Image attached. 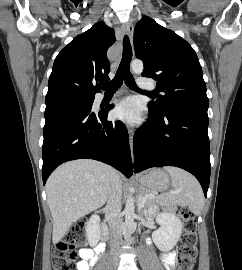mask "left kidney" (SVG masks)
I'll return each instance as SVG.
<instances>
[{
  "label": "left kidney",
  "mask_w": 242,
  "mask_h": 270,
  "mask_svg": "<svg viewBox=\"0 0 242 270\" xmlns=\"http://www.w3.org/2000/svg\"><path fill=\"white\" fill-rule=\"evenodd\" d=\"M160 228L152 233L155 245L164 252H168L180 239L183 223L173 213L162 212L157 216Z\"/></svg>",
  "instance_id": "1"
}]
</instances>
